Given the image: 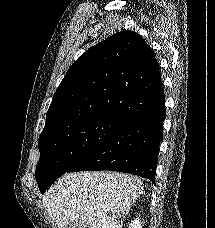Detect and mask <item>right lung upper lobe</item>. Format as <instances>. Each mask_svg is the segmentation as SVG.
Listing matches in <instances>:
<instances>
[{
  "instance_id": "1",
  "label": "right lung upper lobe",
  "mask_w": 215,
  "mask_h": 228,
  "mask_svg": "<svg viewBox=\"0 0 215 228\" xmlns=\"http://www.w3.org/2000/svg\"><path fill=\"white\" fill-rule=\"evenodd\" d=\"M165 100L154 51L124 30L88 49L57 88L41 134L91 117L125 120Z\"/></svg>"
}]
</instances>
